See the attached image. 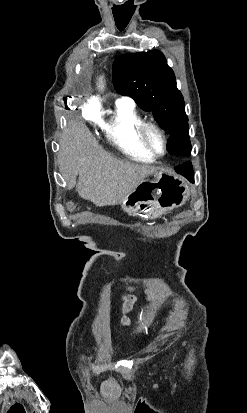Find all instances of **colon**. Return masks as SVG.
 <instances>
[{
    "label": "colon",
    "instance_id": "obj_1",
    "mask_svg": "<svg viewBox=\"0 0 247 413\" xmlns=\"http://www.w3.org/2000/svg\"><path fill=\"white\" fill-rule=\"evenodd\" d=\"M69 208H73V205H72V204H69ZM170 314L172 315V314H173V311H171Z\"/></svg>",
    "mask_w": 247,
    "mask_h": 413
}]
</instances>
